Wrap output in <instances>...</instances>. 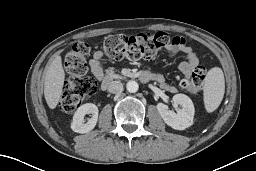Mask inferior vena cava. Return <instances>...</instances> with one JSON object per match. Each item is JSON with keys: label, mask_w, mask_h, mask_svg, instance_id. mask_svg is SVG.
Returning <instances> with one entry per match:
<instances>
[{"label": "inferior vena cava", "mask_w": 256, "mask_h": 171, "mask_svg": "<svg viewBox=\"0 0 256 171\" xmlns=\"http://www.w3.org/2000/svg\"><path fill=\"white\" fill-rule=\"evenodd\" d=\"M108 91L110 93H120L123 91V84L120 81H112L108 85Z\"/></svg>", "instance_id": "obj_1"}]
</instances>
